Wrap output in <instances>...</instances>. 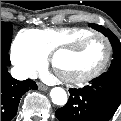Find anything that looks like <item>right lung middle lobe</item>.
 <instances>
[{"label":"right lung middle lobe","instance_id":"right-lung-middle-lobe-1","mask_svg":"<svg viewBox=\"0 0 121 121\" xmlns=\"http://www.w3.org/2000/svg\"><path fill=\"white\" fill-rule=\"evenodd\" d=\"M12 26L10 23L1 22V50L7 51L10 48Z\"/></svg>","mask_w":121,"mask_h":121}]
</instances>
